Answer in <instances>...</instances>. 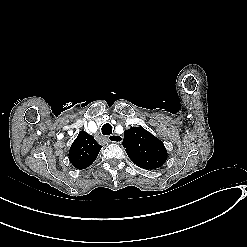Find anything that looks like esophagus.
I'll return each mask as SVG.
<instances>
[{"label": "esophagus", "mask_w": 247, "mask_h": 247, "mask_svg": "<svg viewBox=\"0 0 247 247\" xmlns=\"http://www.w3.org/2000/svg\"><path fill=\"white\" fill-rule=\"evenodd\" d=\"M108 140L109 142H112V143H121L123 141V137L118 134H112L108 136Z\"/></svg>", "instance_id": "esophagus-1"}]
</instances>
